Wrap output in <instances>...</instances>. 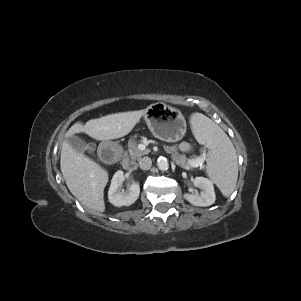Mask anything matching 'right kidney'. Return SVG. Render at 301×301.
<instances>
[{"label": "right kidney", "mask_w": 301, "mask_h": 301, "mask_svg": "<svg viewBox=\"0 0 301 301\" xmlns=\"http://www.w3.org/2000/svg\"><path fill=\"white\" fill-rule=\"evenodd\" d=\"M125 176L123 171H117L112 180L108 191V200L116 207L130 206L139 197L140 186L138 183H133L127 191L121 190V186Z\"/></svg>", "instance_id": "obj_1"}]
</instances>
